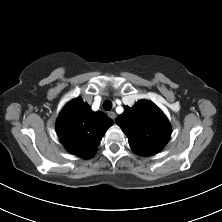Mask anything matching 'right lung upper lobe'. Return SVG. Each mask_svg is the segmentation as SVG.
<instances>
[{
    "instance_id": "cb5924a9",
    "label": "right lung upper lobe",
    "mask_w": 222,
    "mask_h": 222,
    "mask_svg": "<svg viewBox=\"0 0 222 222\" xmlns=\"http://www.w3.org/2000/svg\"><path fill=\"white\" fill-rule=\"evenodd\" d=\"M113 122L101 111L93 112L80 98L71 100L57 120V134L65 148L73 155L90 158Z\"/></svg>"
}]
</instances>
